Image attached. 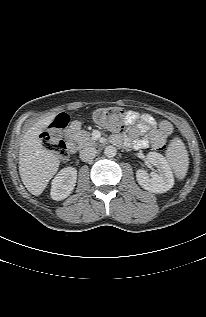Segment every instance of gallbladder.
Returning a JSON list of instances; mask_svg holds the SVG:
<instances>
[{
	"label": "gallbladder",
	"mask_w": 206,
	"mask_h": 317,
	"mask_svg": "<svg viewBox=\"0 0 206 317\" xmlns=\"http://www.w3.org/2000/svg\"><path fill=\"white\" fill-rule=\"evenodd\" d=\"M50 137H51V141L53 143H56L61 138V132L58 129L54 128L50 131Z\"/></svg>",
	"instance_id": "obj_1"
}]
</instances>
